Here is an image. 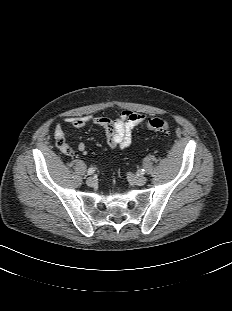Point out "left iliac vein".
Here are the masks:
<instances>
[{
	"instance_id": "4c4485c4",
	"label": "left iliac vein",
	"mask_w": 232,
	"mask_h": 311,
	"mask_svg": "<svg viewBox=\"0 0 232 311\" xmlns=\"http://www.w3.org/2000/svg\"><path fill=\"white\" fill-rule=\"evenodd\" d=\"M128 178L132 180L136 185H139V186H143L147 182L146 177L136 176L132 173H128Z\"/></svg>"
}]
</instances>
